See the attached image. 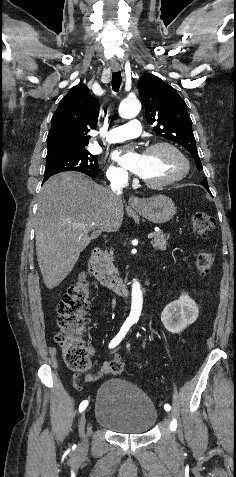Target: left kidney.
Wrapping results in <instances>:
<instances>
[{"instance_id": "5707ae66", "label": "left kidney", "mask_w": 236, "mask_h": 477, "mask_svg": "<svg viewBox=\"0 0 236 477\" xmlns=\"http://www.w3.org/2000/svg\"><path fill=\"white\" fill-rule=\"evenodd\" d=\"M198 314L199 309L195 301L186 293H182L178 300L169 303L164 308L161 313V321L169 332L179 334L196 321Z\"/></svg>"}]
</instances>
